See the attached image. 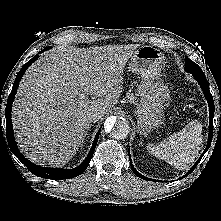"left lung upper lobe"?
I'll return each mask as SVG.
<instances>
[{
    "label": "left lung upper lobe",
    "mask_w": 221,
    "mask_h": 221,
    "mask_svg": "<svg viewBox=\"0 0 221 221\" xmlns=\"http://www.w3.org/2000/svg\"><path fill=\"white\" fill-rule=\"evenodd\" d=\"M185 71L188 73H193V72H197V73H201L203 72L201 70V68L194 63L192 60H190L189 58H185Z\"/></svg>",
    "instance_id": "5c2ea615"
}]
</instances>
